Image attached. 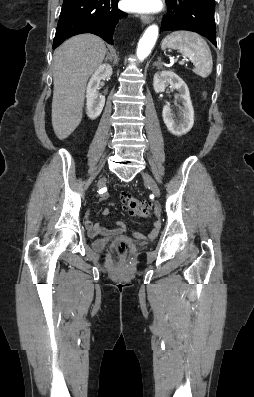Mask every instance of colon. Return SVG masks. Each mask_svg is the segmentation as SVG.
Masks as SVG:
<instances>
[{
  "mask_svg": "<svg viewBox=\"0 0 254 397\" xmlns=\"http://www.w3.org/2000/svg\"><path fill=\"white\" fill-rule=\"evenodd\" d=\"M122 200L126 205L128 211L138 217L147 218L151 215V207L129 194H122ZM117 253L125 256L128 252V245L125 241H118L116 244Z\"/></svg>",
  "mask_w": 254,
  "mask_h": 397,
  "instance_id": "colon-1",
  "label": "colon"
}]
</instances>
